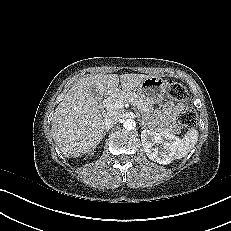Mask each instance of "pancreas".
Wrapping results in <instances>:
<instances>
[{
    "mask_svg": "<svg viewBox=\"0 0 231 231\" xmlns=\"http://www.w3.org/2000/svg\"><path fill=\"white\" fill-rule=\"evenodd\" d=\"M128 101L131 104L135 105L140 112H147L151 109V105L148 101L142 99L138 95L132 93V92H125V93H119L115 96L109 97L107 101L105 102V106L107 108V111L109 113H120L123 111V109L116 107V104L118 102H124ZM167 132H171L174 134L180 133V127L174 128V127H168L165 129Z\"/></svg>",
    "mask_w": 231,
    "mask_h": 231,
    "instance_id": "obj_1",
    "label": "pancreas"
}]
</instances>
